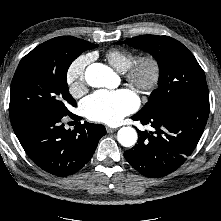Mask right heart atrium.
<instances>
[{
    "mask_svg": "<svg viewBox=\"0 0 221 221\" xmlns=\"http://www.w3.org/2000/svg\"><path fill=\"white\" fill-rule=\"evenodd\" d=\"M89 61V56L81 55L69 65L66 71V83L70 93L74 97H79L86 91L87 83L85 79V70Z\"/></svg>",
    "mask_w": 221,
    "mask_h": 221,
    "instance_id": "d8ad5b80",
    "label": "right heart atrium"
}]
</instances>
